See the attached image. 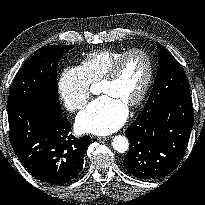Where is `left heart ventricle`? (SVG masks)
<instances>
[{
	"label": "left heart ventricle",
	"instance_id": "1",
	"mask_svg": "<svg viewBox=\"0 0 205 205\" xmlns=\"http://www.w3.org/2000/svg\"><path fill=\"white\" fill-rule=\"evenodd\" d=\"M148 73V63L142 55H132L123 63L117 78L99 86L100 93L110 95L127 105L141 92Z\"/></svg>",
	"mask_w": 205,
	"mask_h": 205
}]
</instances>
